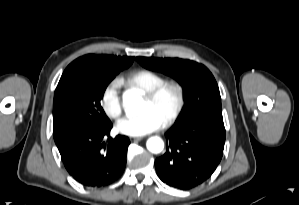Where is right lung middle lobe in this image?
I'll list each match as a JSON object with an SVG mask.
<instances>
[{"label": "right lung middle lobe", "instance_id": "obj_1", "mask_svg": "<svg viewBox=\"0 0 299 205\" xmlns=\"http://www.w3.org/2000/svg\"><path fill=\"white\" fill-rule=\"evenodd\" d=\"M123 69L67 67L55 90L53 136L57 146L71 135L108 125L101 107L107 85Z\"/></svg>", "mask_w": 299, "mask_h": 205}]
</instances>
